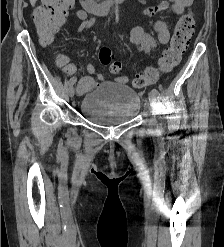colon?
<instances>
[{"label":"colon","mask_w":224,"mask_h":247,"mask_svg":"<svg viewBox=\"0 0 224 247\" xmlns=\"http://www.w3.org/2000/svg\"><path fill=\"white\" fill-rule=\"evenodd\" d=\"M74 0H43V5L33 13L34 23L38 34L46 41L51 42L61 28L68 11L72 8ZM195 29V20L191 12L185 13L177 22L169 47H167L159 60L158 68H149L134 79V86L144 87L155 80L160 72L169 71L178 64L182 54L187 50ZM102 65L109 66L111 74L117 76L121 73L122 65L114 60L111 50L107 47L100 49L98 54ZM73 65L66 66V72L72 74ZM89 78L80 80L81 90L94 86Z\"/></svg>","instance_id":"1"}]
</instances>
